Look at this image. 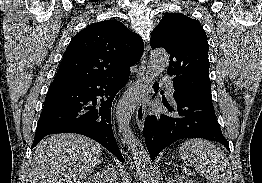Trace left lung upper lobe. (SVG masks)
Wrapping results in <instances>:
<instances>
[{"label":"left lung upper lobe","mask_w":262,"mask_h":183,"mask_svg":"<svg viewBox=\"0 0 262 183\" xmlns=\"http://www.w3.org/2000/svg\"><path fill=\"white\" fill-rule=\"evenodd\" d=\"M151 47L170 54L167 74L186 95L211 98L207 36L200 23L180 13L166 14L151 34Z\"/></svg>","instance_id":"1"}]
</instances>
